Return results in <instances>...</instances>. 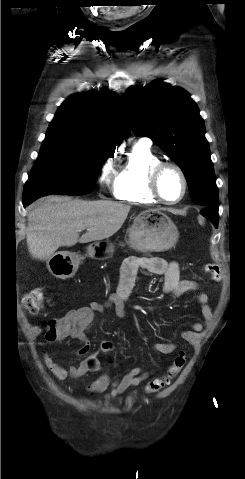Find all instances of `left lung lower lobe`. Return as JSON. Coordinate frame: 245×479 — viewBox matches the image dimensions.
<instances>
[{"mask_svg":"<svg viewBox=\"0 0 245 479\" xmlns=\"http://www.w3.org/2000/svg\"><path fill=\"white\" fill-rule=\"evenodd\" d=\"M201 214L208 218L217 228L218 227V205L204 207Z\"/></svg>","mask_w":245,"mask_h":479,"instance_id":"obj_1","label":"left lung lower lobe"}]
</instances>
